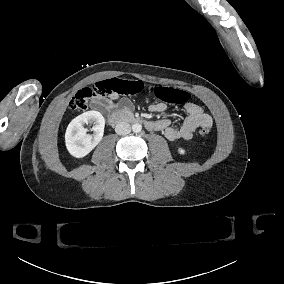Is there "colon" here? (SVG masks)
I'll return each mask as SVG.
<instances>
[{
	"label": "colon",
	"mask_w": 284,
	"mask_h": 284,
	"mask_svg": "<svg viewBox=\"0 0 284 284\" xmlns=\"http://www.w3.org/2000/svg\"><path fill=\"white\" fill-rule=\"evenodd\" d=\"M145 88L143 80H121L111 79L94 82L83 86L71 98L70 107L74 110L83 109L90 103L96 101L99 95H126L133 96L140 93ZM158 98L171 105H185L189 101V94L185 90L172 88H159L157 90ZM199 133L207 137L211 133L209 126H204Z\"/></svg>",
	"instance_id": "colon-1"
}]
</instances>
